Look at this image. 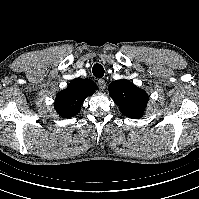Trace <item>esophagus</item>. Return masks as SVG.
Returning a JSON list of instances; mask_svg holds the SVG:
<instances>
[{"mask_svg":"<svg viewBox=\"0 0 199 199\" xmlns=\"http://www.w3.org/2000/svg\"><path fill=\"white\" fill-rule=\"evenodd\" d=\"M98 85H99V88L101 90H104L106 88L107 83H106V81L104 79H99L98 80Z\"/></svg>","mask_w":199,"mask_h":199,"instance_id":"34e87169","label":"esophagus"}]
</instances>
